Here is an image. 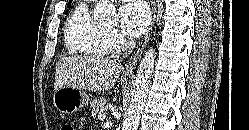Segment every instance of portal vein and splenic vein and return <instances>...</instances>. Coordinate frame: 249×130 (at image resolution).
I'll return each mask as SVG.
<instances>
[{"mask_svg":"<svg viewBox=\"0 0 249 130\" xmlns=\"http://www.w3.org/2000/svg\"><path fill=\"white\" fill-rule=\"evenodd\" d=\"M105 117H106L105 113H99V114H98V119H99L100 121H103V120L105 119Z\"/></svg>","mask_w":249,"mask_h":130,"instance_id":"portal-vein-and-splenic-vein-1","label":"portal vein and splenic vein"}]
</instances>
